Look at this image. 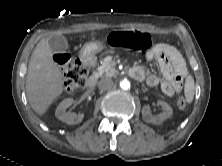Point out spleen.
I'll list each match as a JSON object with an SVG mask.
<instances>
[{"label": "spleen", "mask_w": 222, "mask_h": 166, "mask_svg": "<svg viewBox=\"0 0 222 166\" xmlns=\"http://www.w3.org/2000/svg\"><path fill=\"white\" fill-rule=\"evenodd\" d=\"M194 94H195L194 79L191 75H188L184 85V95L187 103H191L193 101Z\"/></svg>", "instance_id": "3e777b00"}]
</instances>
